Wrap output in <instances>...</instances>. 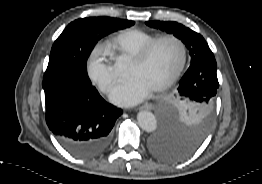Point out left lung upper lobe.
Masks as SVG:
<instances>
[{
  "label": "left lung upper lobe",
  "mask_w": 262,
  "mask_h": 184,
  "mask_svg": "<svg viewBox=\"0 0 262 184\" xmlns=\"http://www.w3.org/2000/svg\"><path fill=\"white\" fill-rule=\"evenodd\" d=\"M146 24L182 40L191 56L190 67L177 91L161 105L162 125L178 138L202 140L211 125V110L219 87L216 65L202 61L214 55L200 34L180 23L147 21Z\"/></svg>",
  "instance_id": "left-lung-upper-lobe-1"
}]
</instances>
